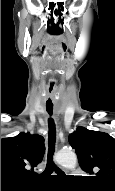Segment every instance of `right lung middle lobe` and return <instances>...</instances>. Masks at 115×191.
I'll use <instances>...</instances> for the list:
<instances>
[{
  "mask_svg": "<svg viewBox=\"0 0 115 191\" xmlns=\"http://www.w3.org/2000/svg\"><path fill=\"white\" fill-rule=\"evenodd\" d=\"M12 190H15V189H12V188H4V187L2 188V187H1V191H12Z\"/></svg>",
  "mask_w": 115,
  "mask_h": 191,
  "instance_id": "dd1d6c3e",
  "label": "right lung middle lobe"
}]
</instances>
